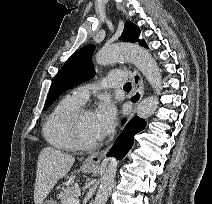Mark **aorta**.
Returning <instances> with one entry per match:
<instances>
[{"mask_svg":"<svg viewBox=\"0 0 212 204\" xmlns=\"http://www.w3.org/2000/svg\"><path fill=\"white\" fill-rule=\"evenodd\" d=\"M118 61H128L134 64L153 87L154 95L143 99L136 111L140 118L150 117L158 107L162 89V75L157 62L146 49L133 44L121 43L103 47L96 55V62L99 65H109ZM117 164L115 158L108 160L94 204H106L116 175Z\"/></svg>","mask_w":212,"mask_h":204,"instance_id":"obj_1","label":"aorta"}]
</instances>
